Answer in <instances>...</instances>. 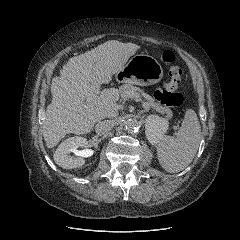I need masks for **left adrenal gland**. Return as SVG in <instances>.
<instances>
[{
	"label": "left adrenal gland",
	"instance_id": "a2214340",
	"mask_svg": "<svg viewBox=\"0 0 240 240\" xmlns=\"http://www.w3.org/2000/svg\"><path fill=\"white\" fill-rule=\"evenodd\" d=\"M146 112H148L147 110H143V111H141V114H144V113H146ZM143 117V116H142Z\"/></svg>",
	"mask_w": 240,
	"mask_h": 240
}]
</instances>
